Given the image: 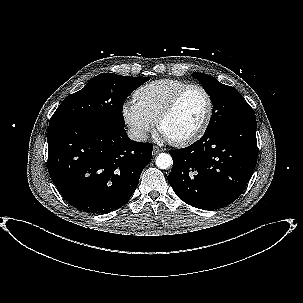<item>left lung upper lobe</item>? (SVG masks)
Instances as JSON below:
<instances>
[{
	"label": "left lung upper lobe",
	"mask_w": 303,
	"mask_h": 303,
	"mask_svg": "<svg viewBox=\"0 0 303 303\" xmlns=\"http://www.w3.org/2000/svg\"><path fill=\"white\" fill-rule=\"evenodd\" d=\"M192 75L210 95L213 104V112L206 132L234 122L255 119L254 110L235 88L224 85L204 73L194 72Z\"/></svg>",
	"instance_id": "obj_1"
}]
</instances>
